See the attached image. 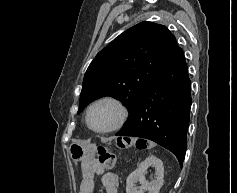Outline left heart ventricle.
I'll use <instances>...</instances> for the list:
<instances>
[{"instance_id": "1", "label": "left heart ventricle", "mask_w": 237, "mask_h": 193, "mask_svg": "<svg viewBox=\"0 0 237 193\" xmlns=\"http://www.w3.org/2000/svg\"><path fill=\"white\" fill-rule=\"evenodd\" d=\"M118 117V111L115 106L103 103L96 106L90 115V122L96 129H106L112 126Z\"/></svg>"}]
</instances>
